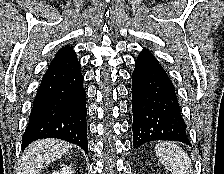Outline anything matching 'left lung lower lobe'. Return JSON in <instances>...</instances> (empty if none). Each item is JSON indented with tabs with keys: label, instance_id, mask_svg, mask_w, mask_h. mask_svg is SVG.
Returning <instances> with one entry per match:
<instances>
[{
	"label": "left lung lower lobe",
	"instance_id": "left-lung-lower-lobe-1",
	"mask_svg": "<svg viewBox=\"0 0 224 174\" xmlns=\"http://www.w3.org/2000/svg\"><path fill=\"white\" fill-rule=\"evenodd\" d=\"M133 146L155 140L190 145L175 88L168 74L148 50L135 61L132 73Z\"/></svg>",
	"mask_w": 224,
	"mask_h": 174
}]
</instances>
